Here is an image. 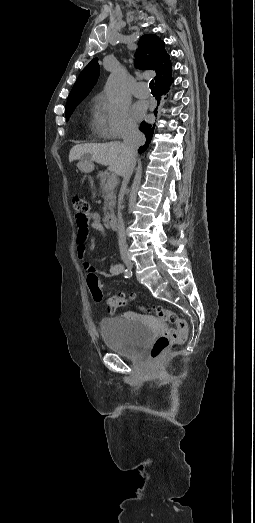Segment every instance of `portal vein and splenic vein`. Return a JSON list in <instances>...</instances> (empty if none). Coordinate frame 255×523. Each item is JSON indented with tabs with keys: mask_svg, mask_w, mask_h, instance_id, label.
Listing matches in <instances>:
<instances>
[{
	"mask_svg": "<svg viewBox=\"0 0 255 523\" xmlns=\"http://www.w3.org/2000/svg\"><path fill=\"white\" fill-rule=\"evenodd\" d=\"M110 174H115V169H110ZM114 186L113 182H106L105 188L106 190H110Z\"/></svg>",
	"mask_w": 255,
	"mask_h": 523,
	"instance_id": "18ae733b",
	"label": "portal vein and splenic vein"
}]
</instances>
